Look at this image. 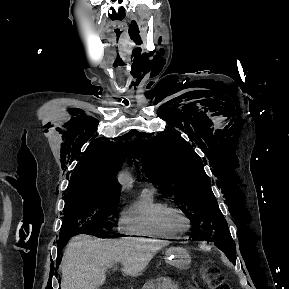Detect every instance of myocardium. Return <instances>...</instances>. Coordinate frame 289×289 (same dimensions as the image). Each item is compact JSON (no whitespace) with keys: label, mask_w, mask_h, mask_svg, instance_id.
Returning a JSON list of instances; mask_svg holds the SVG:
<instances>
[{"label":"myocardium","mask_w":289,"mask_h":289,"mask_svg":"<svg viewBox=\"0 0 289 289\" xmlns=\"http://www.w3.org/2000/svg\"><path fill=\"white\" fill-rule=\"evenodd\" d=\"M172 214H177L181 216L186 221V228L183 230H174L169 224V216ZM158 219L161 225L171 234L178 236L187 233L191 228V221L187 213L180 207L175 205H165L159 212Z\"/></svg>","instance_id":"1"}]
</instances>
